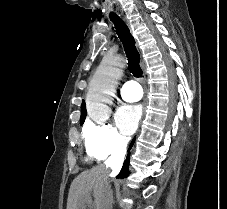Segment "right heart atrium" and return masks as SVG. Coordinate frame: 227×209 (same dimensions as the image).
Returning a JSON list of instances; mask_svg holds the SVG:
<instances>
[{"label": "right heart atrium", "instance_id": "obj_1", "mask_svg": "<svg viewBox=\"0 0 227 209\" xmlns=\"http://www.w3.org/2000/svg\"><path fill=\"white\" fill-rule=\"evenodd\" d=\"M82 137L88 155L99 161L124 154L130 141L110 123H87Z\"/></svg>", "mask_w": 227, "mask_h": 209}]
</instances>
